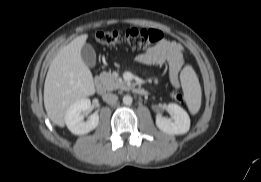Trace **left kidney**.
I'll list each match as a JSON object with an SVG mask.
<instances>
[{
	"mask_svg": "<svg viewBox=\"0 0 261 182\" xmlns=\"http://www.w3.org/2000/svg\"><path fill=\"white\" fill-rule=\"evenodd\" d=\"M167 109L172 112V118L156 116V126L163 132L173 135L185 134L190 128V118L187 112L175 103H169Z\"/></svg>",
	"mask_w": 261,
	"mask_h": 182,
	"instance_id": "5707ae66",
	"label": "left kidney"
}]
</instances>
